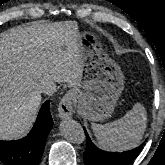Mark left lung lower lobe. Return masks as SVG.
<instances>
[{
    "mask_svg": "<svg viewBox=\"0 0 165 165\" xmlns=\"http://www.w3.org/2000/svg\"><path fill=\"white\" fill-rule=\"evenodd\" d=\"M84 128V127H83ZM87 144L84 152L85 165H129L142 150L143 144L133 150L118 153L98 149L89 138L84 128Z\"/></svg>",
    "mask_w": 165,
    "mask_h": 165,
    "instance_id": "obj_1",
    "label": "left lung lower lobe"
}]
</instances>
